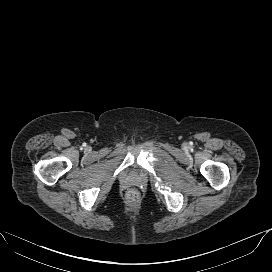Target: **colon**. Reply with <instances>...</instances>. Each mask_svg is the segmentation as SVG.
Here are the masks:
<instances>
[{"label": "colon", "mask_w": 272, "mask_h": 272, "mask_svg": "<svg viewBox=\"0 0 272 272\" xmlns=\"http://www.w3.org/2000/svg\"><path fill=\"white\" fill-rule=\"evenodd\" d=\"M127 199L129 201H136L139 199V192L136 190V189H130L128 192H127Z\"/></svg>", "instance_id": "colon-1"}]
</instances>
